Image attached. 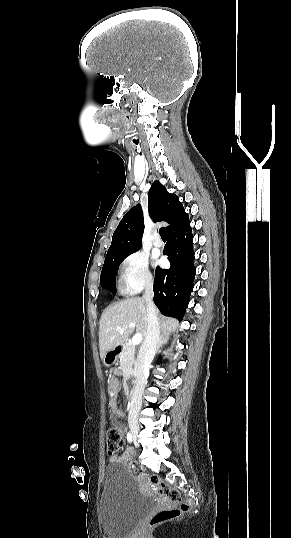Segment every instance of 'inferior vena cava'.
Here are the masks:
<instances>
[{
  "label": "inferior vena cava",
  "mask_w": 291,
  "mask_h": 538,
  "mask_svg": "<svg viewBox=\"0 0 291 538\" xmlns=\"http://www.w3.org/2000/svg\"><path fill=\"white\" fill-rule=\"evenodd\" d=\"M153 283L146 285L143 298L147 303V332L139 354V370L135 381V390L129 405L128 421L137 422L141 409L142 395L147 382L149 367L154 359L160 338L158 311L153 303Z\"/></svg>",
  "instance_id": "1"
}]
</instances>
